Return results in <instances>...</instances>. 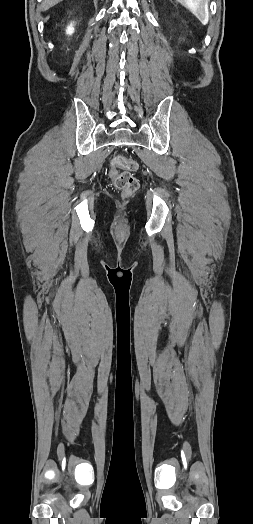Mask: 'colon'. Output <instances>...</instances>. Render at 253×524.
Segmentation results:
<instances>
[{"label":"colon","instance_id":"1","mask_svg":"<svg viewBox=\"0 0 253 524\" xmlns=\"http://www.w3.org/2000/svg\"><path fill=\"white\" fill-rule=\"evenodd\" d=\"M136 168L137 163L125 157L117 156L112 160L109 175L115 188L120 190L125 196L132 195L138 187V181L132 174V171ZM119 169L126 170L120 171Z\"/></svg>","mask_w":253,"mask_h":524}]
</instances>
